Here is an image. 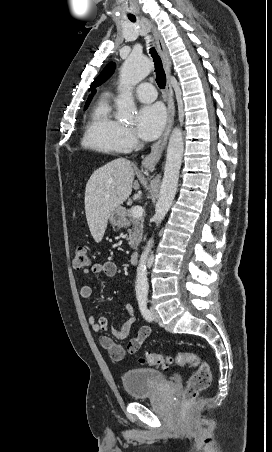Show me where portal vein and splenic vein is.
<instances>
[{
    "mask_svg": "<svg viewBox=\"0 0 272 452\" xmlns=\"http://www.w3.org/2000/svg\"><path fill=\"white\" fill-rule=\"evenodd\" d=\"M132 214L135 218L141 217L143 214V208L139 205L132 208Z\"/></svg>",
    "mask_w": 272,
    "mask_h": 452,
    "instance_id": "obj_1",
    "label": "portal vein and splenic vein"
}]
</instances>
